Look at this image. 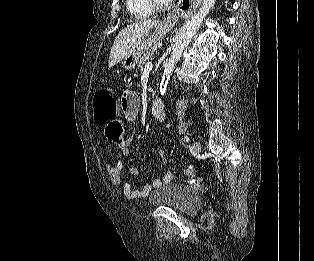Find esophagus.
<instances>
[{"instance_id": "esophagus-1", "label": "esophagus", "mask_w": 314, "mask_h": 261, "mask_svg": "<svg viewBox=\"0 0 314 261\" xmlns=\"http://www.w3.org/2000/svg\"><path fill=\"white\" fill-rule=\"evenodd\" d=\"M201 1L202 0H191L190 4L186 2V9L182 8L183 4H185L182 2L177 6L176 13L178 15L188 17L190 14H192L197 9V7L200 5Z\"/></svg>"}]
</instances>
